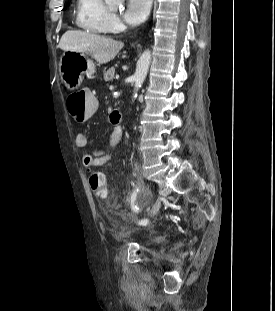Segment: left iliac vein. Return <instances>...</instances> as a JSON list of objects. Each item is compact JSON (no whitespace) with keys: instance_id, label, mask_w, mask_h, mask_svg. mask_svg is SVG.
I'll use <instances>...</instances> for the list:
<instances>
[{"instance_id":"1","label":"left iliac vein","mask_w":275,"mask_h":311,"mask_svg":"<svg viewBox=\"0 0 275 311\" xmlns=\"http://www.w3.org/2000/svg\"><path fill=\"white\" fill-rule=\"evenodd\" d=\"M158 212V207L157 206H154L151 210H150V215L151 216H154L156 215Z\"/></svg>"}]
</instances>
